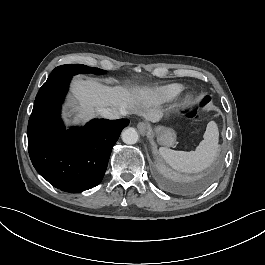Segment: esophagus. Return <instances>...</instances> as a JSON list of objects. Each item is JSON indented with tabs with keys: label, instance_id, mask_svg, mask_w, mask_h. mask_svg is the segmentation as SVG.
Here are the masks:
<instances>
[{
	"label": "esophagus",
	"instance_id": "obj_1",
	"mask_svg": "<svg viewBox=\"0 0 265 265\" xmlns=\"http://www.w3.org/2000/svg\"><path fill=\"white\" fill-rule=\"evenodd\" d=\"M137 128H138V130L140 131V133L142 135H145L148 132V130H149V126L145 122H139L137 124Z\"/></svg>",
	"mask_w": 265,
	"mask_h": 265
}]
</instances>
